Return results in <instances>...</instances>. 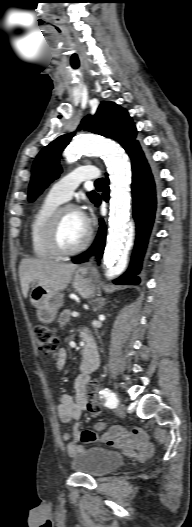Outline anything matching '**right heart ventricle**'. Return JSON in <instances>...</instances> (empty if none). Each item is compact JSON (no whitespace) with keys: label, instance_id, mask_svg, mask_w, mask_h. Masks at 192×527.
Returning <instances> with one entry per match:
<instances>
[{"label":"right heart ventricle","instance_id":"right-heart-ventricle-1","mask_svg":"<svg viewBox=\"0 0 192 527\" xmlns=\"http://www.w3.org/2000/svg\"><path fill=\"white\" fill-rule=\"evenodd\" d=\"M62 201L47 196L34 212L29 226L31 251L34 256L42 259L53 258L56 255L49 249L46 242V230L54 212Z\"/></svg>","mask_w":192,"mask_h":527}]
</instances>
